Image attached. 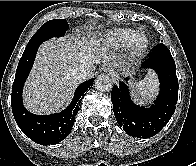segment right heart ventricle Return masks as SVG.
I'll use <instances>...</instances> for the list:
<instances>
[{"mask_svg": "<svg viewBox=\"0 0 196 166\" xmlns=\"http://www.w3.org/2000/svg\"><path fill=\"white\" fill-rule=\"evenodd\" d=\"M131 34L132 31L129 29H119L110 35V39L116 47L129 49L128 40Z\"/></svg>", "mask_w": 196, "mask_h": 166, "instance_id": "1", "label": "right heart ventricle"}]
</instances>
